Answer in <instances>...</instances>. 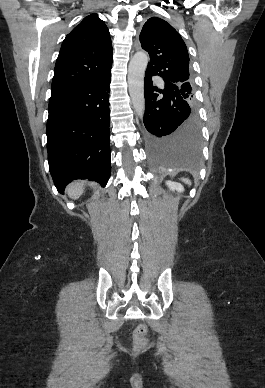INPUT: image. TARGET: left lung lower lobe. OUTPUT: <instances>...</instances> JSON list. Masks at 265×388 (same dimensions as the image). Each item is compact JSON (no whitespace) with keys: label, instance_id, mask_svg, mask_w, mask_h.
Returning <instances> with one entry per match:
<instances>
[{"label":"left lung lower lobe","instance_id":"left-lung-lower-lobe-1","mask_svg":"<svg viewBox=\"0 0 265 388\" xmlns=\"http://www.w3.org/2000/svg\"><path fill=\"white\" fill-rule=\"evenodd\" d=\"M145 72L146 142L152 165L160 170L194 171L200 162L201 133L197 112L181 89L165 82L159 89Z\"/></svg>","mask_w":265,"mask_h":388}]
</instances>
